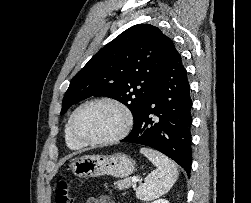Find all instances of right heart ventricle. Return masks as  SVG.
<instances>
[{
    "mask_svg": "<svg viewBox=\"0 0 251 203\" xmlns=\"http://www.w3.org/2000/svg\"><path fill=\"white\" fill-rule=\"evenodd\" d=\"M69 120L66 122L65 128H64V137H65V141L67 146L72 149V150H79L81 148H83L85 145L81 144L80 142H78L71 134L70 132V128H69Z\"/></svg>",
    "mask_w": 251,
    "mask_h": 203,
    "instance_id": "right-heart-ventricle-1",
    "label": "right heart ventricle"
}]
</instances>
